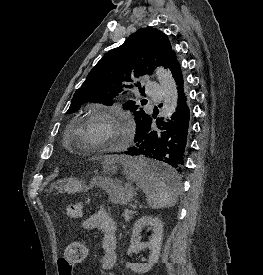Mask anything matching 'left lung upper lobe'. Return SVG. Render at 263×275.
I'll use <instances>...</instances> for the list:
<instances>
[{
  "label": "left lung upper lobe",
  "instance_id": "1",
  "mask_svg": "<svg viewBox=\"0 0 263 275\" xmlns=\"http://www.w3.org/2000/svg\"><path fill=\"white\" fill-rule=\"evenodd\" d=\"M174 55L163 32L152 28L139 29L92 68L81 88L75 92L67 113L76 112L88 101L111 105L112 99L124 88H132L128 83L134 78L151 74L157 65L168 68ZM127 107L134 111L137 129L150 118L133 100L125 103L124 108Z\"/></svg>",
  "mask_w": 263,
  "mask_h": 275
}]
</instances>
